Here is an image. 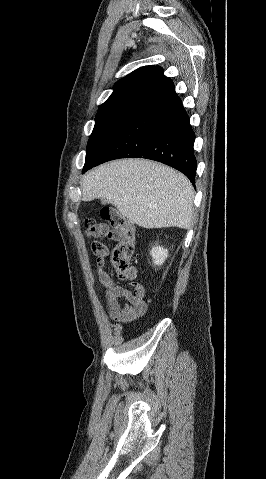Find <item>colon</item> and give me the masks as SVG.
Returning <instances> with one entry per match:
<instances>
[{"label":"colon","mask_w":266,"mask_h":479,"mask_svg":"<svg viewBox=\"0 0 266 479\" xmlns=\"http://www.w3.org/2000/svg\"><path fill=\"white\" fill-rule=\"evenodd\" d=\"M101 217L106 221L113 232L118 234L117 244L109 252L108 248L99 241H94L91 250L96 257H106L109 255V262L117 277L121 280L130 279L133 274V255L135 251L136 234L135 228L120 213L111 208H103ZM86 230L89 235L103 236L108 227L103 223H98L94 219H87L85 222Z\"/></svg>","instance_id":"5ec220e1"}]
</instances>
